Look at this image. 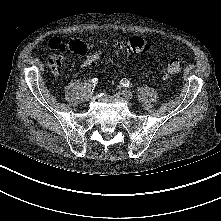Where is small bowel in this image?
Returning a JSON list of instances; mask_svg holds the SVG:
<instances>
[{
    "label": "small bowel",
    "instance_id": "obj_1",
    "mask_svg": "<svg viewBox=\"0 0 221 221\" xmlns=\"http://www.w3.org/2000/svg\"><path fill=\"white\" fill-rule=\"evenodd\" d=\"M48 46L50 49L57 51V53L53 54L48 60V66L54 74L59 73V69L65 61V52L71 51L79 56L87 52V46L78 40L63 43L57 38H52L49 40Z\"/></svg>",
    "mask_w": 221,
    "mask_h": 221
}]
</instances>
